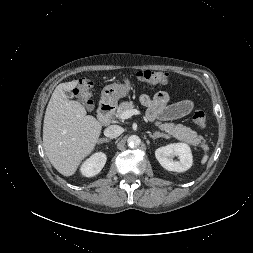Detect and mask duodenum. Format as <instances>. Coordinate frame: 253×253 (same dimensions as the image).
<instances>
[{
	"mask_svg": "<svg viewBox=\"0 0 253 253\" xmlns=\"http://www.w3.org/2000/svg\"><path fill=\"white\" fill-rule=\"evenodd\" d=\"M114 111L112 102L104 100L100 103L98 108V117L103 125H108Z\"/></svg>",
	"mask_w": 253,
	"mask_h": 253,
	"instance_id": "410a0bca",
	"label": "duodenum"
}]
</instances>
